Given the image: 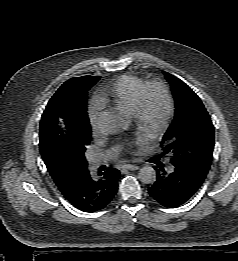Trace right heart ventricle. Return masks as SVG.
Returning <instances> with one entry per match:
<instances>
[{
	"label": "right heart ventricle",
	"instance_id": "obj_1",
	"mask_svg": "<svg viewBox=\"0 0 238 261\" xmlns=\"http://www.w3.org/2000/svg\"><path fill=\"white\" fill-rule=\"evenodd\" d=\"M146 80L136 75H123L98 95L101 105L111 104L132 114L136 108L138 95Z\"/></svg>",
	"mask_w": 238,
	"mask_h": 261
}]
</instances>
